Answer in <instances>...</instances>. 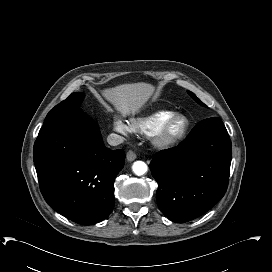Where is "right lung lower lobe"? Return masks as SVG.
<instances>
[{"mask_svg":"<svg viewBox=\"0 0 272 272\" xmlns=\"http://www.w3.org/2000/svg\"><path fill=\"white\" fill-rule=\"evenodd\" d=\"M33 154L41 193L55 211L82 225L109 216L125 153L105 147L98 127L81 109L45 122Z\"/></svg>","mask_w":272,"mask_h":272,"instance_id":"right-lung-lower-lobe-1","label":"right lung lower lobe"}]
</instances>
